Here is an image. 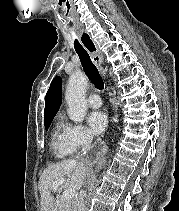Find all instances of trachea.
Wrapping results in <instances>:
<instances>
[{"label":"trachea","instance_id":"3493384b","mask_svg":"<svg viewBox=\"0 0 179 211\" xmlns=\"http://www.w3.org/2000/svg\"><path fill=\"white\" fill-rule=\"evenodd\" d=\"M75 51L77 52L82 67L92 82V84L97 88L98 90H102L104 88V82L96 68V66L91 61V58L88 54V52L82 47V45L78 42V40H75L74 42Z\"/></svg>","mask_w":179,"mask_h":211}]
</instances>
